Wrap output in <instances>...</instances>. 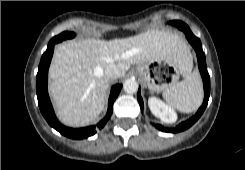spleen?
<instances>
[{"instance_id":"spleen-1","label":"spleen","mask_w":245,"mask_h":170,"mask_svg":"<svg viewBox=\"0 0 245 170\" xmlns=\"http://www.w3.org/2000/svg\"><path fill=\"white\" fill-rule=\"evenodd\" d=\"M163 97L173 108L183 113L198 109L203 100V87L197 71L189 72L184 80L163 91Z\"/></svg>"}]
</instances>
